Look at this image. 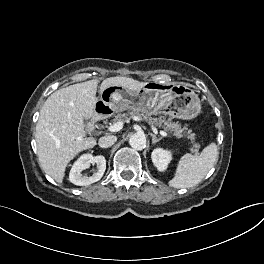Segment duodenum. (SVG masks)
Segmentation results:
<instances>
[{
	"mask_svg": "<svg viewBox=\"0 0 264 264\" xmlns=\"http://www.w3.org/2000/svg\"><path fill=\"white\" fill-rule=\"evenodd\" d=\"M103 117V113L98 111L96 112L93 117L91 118L90 127L94 128L95 124L100 121Z\"/></svg>",
	"mask_w": 264,
	"mask_h": 264,
	"instance_id": "1",
	"label": "duodenum"
}]
</instances>
